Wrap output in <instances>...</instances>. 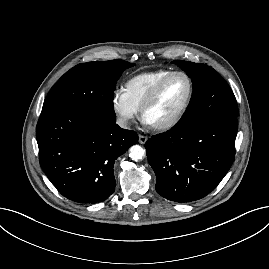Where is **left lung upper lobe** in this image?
<instances>
[{"label": "left lung upper lobe", "instance_id": "obj_1", "mask_svg": "<svg viewBox=\"0 0 269 269\" xmlns=\"http://www.w3.org/2000/svg\"><path fill=\"white\" fill-rule=\"evenodd\" d=\"M193 82L190 104L176 127L185 128L218 115L238 116L235 96L227 82L211 66L188 61H173Z\"/></svg>", "mask_w": 269, "mask_h": 269}]
</instances>
